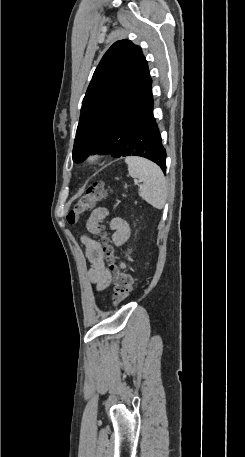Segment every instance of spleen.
<instances>
[{
	"mask_svg": "<svg viewBox=\"0 0 245 457\" xmlns=\"http://www.w3.org/2000/svg\"><path fill=\"white\" fill-rule=\"evenodd\" d=\"M125 162L128 164L130 176L140 178L143 182L139 188V196L155 208H164L167 184L160 166L143 156H126Z\"/></svg>",
	"mask_w": 245,
	"mask_h": 457,
	"instance_id": "obj_1",
	"label": "spleen"
}]
</instances>
